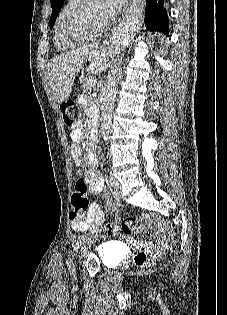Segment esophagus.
I'll return each instance as SVG.
<instances>
[{"instance_id": "34e87169", "label": "esophagus", "mask_w": 227, "mask_h": 315, "mask_svg": "<svg viewBox=\"0 0 227 315\" xmlns=\"http://www.w3.org/2000/svg\"><path fill=\"white\" fill-rule=\"evenodd\" d=\"M131 8H132L131 6H129V5L127 6L126 12L123 14V16L121 17V19L119 20L118 26L115 27V28L112 30V32H111V34L109 35V37L105 40V43H108V44H109V43L112 42L113 39H115L116 33H117V31H118V28H119L120 26H122L123 23L125 22V19H126V17H127V14L130 13Z\"/></svg>"}]
</instances>
